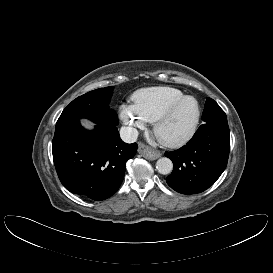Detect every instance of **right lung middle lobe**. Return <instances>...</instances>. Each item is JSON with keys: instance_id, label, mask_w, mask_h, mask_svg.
Returning <instances> with one entry per match:
<instances>
[{"instance_id": "dd1d6c3e", "label": "right lung middle lobe", "mask_w": 273, "mask_h": 273, "mask_svg": "<svg viewBox=\"0 0 273 273\" xmlns=\"http://www.w3.org/2000/svg\"><path fill=\"white\" fill-rule=\"evenodd\" d=\"M114 87L90 91L73 100L60 115L56 127L63 124L87 118L95 123L118 124L115 111L108 109Z\"/></svg>"}]
</instances>
